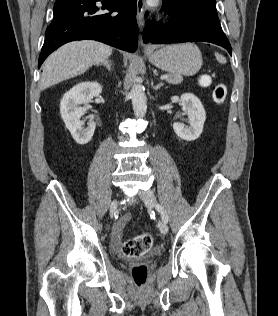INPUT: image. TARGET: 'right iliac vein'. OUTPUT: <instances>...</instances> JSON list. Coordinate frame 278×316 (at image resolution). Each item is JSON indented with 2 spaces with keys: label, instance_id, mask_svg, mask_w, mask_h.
<instances>
[{
  "label": "right iliac vein",
  "instance_id": "1",
  "mask_svg": "<svg viewBox=\"0 0 278 316\" xmlns=\"http://www.w3.org/2000/svg\"><path fill=\"white\" fill-rule=\"evenodd\" d=\"M110 216L113 217V215L115 214L116 210H117V202L113 201L110 205Z\"/></svg>",
  "mask_w": 278,
  "mask_h": 316
}]
</instances>
